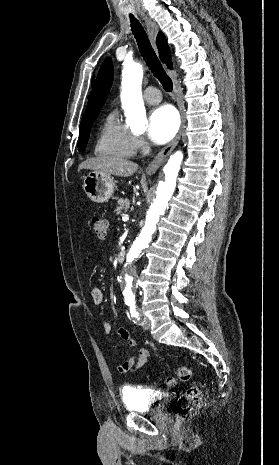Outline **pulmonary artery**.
Masks as SVG:
<instances>
[{"label": "pulmonary artery", "mask_w": 279, "mask_h": 465, "mask_svg": "<svg viewBox=\"0 0 279 465\" xmlns=\"http://www.w3.org/2000/svg\"><path fill=\"white\" fill-rule=\"evenodd\" d=\"M144 100L149 104H156L161 101V93L155 87H148L144 92Z\"/></svg>", "instance_id": "1"}]
</instances>
